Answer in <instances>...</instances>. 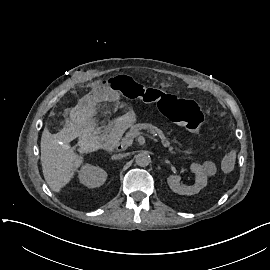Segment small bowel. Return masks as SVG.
Segmentation results:
<instances>
[{
	"mask_svg": "<svg viewBox=\"0 0 270 270\" xmlns=\"http://www.w3.org/2000/svg\"><path fill=\"white\" fill-rule=\"evenodd\" d=\"M96 91L103 97L109 98L111 100H116L118 98L117 95L110 91L108 88L99 87Z\"/></svg>",
	"mask_w": 270,
	"mask_h": 270,
	"instance_id": "c3829d8e",
	"label": "small bowel"
}]
</instances>
